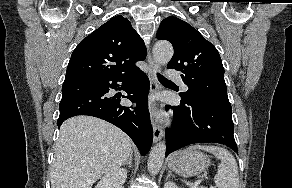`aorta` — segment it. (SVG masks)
Wrapping results in <instances>:
<instances>
[{
    "instance_id": "obj_1",
    "label": "aorta",
    "mask_w": 292,
    "mask_h": 188,
    "mask_svg": "<svg viewBox=\"0 0 292 188\" xmlns=\"http://www.w3.org/2000/svg\"><path fill=\"white\" fill-rule=\"evenodd\" d=\"M173 56V47L167 41H158L153 48V57L158 65H167ZM166 153L165 142L157 143L151 150L148 159L149 173L155 175L162 167Z\"/></svg>"
}]
</instances>
